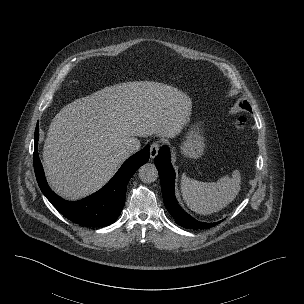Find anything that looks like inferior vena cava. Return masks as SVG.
Returning <instances> with one entry per match:
<instances>
[{
    "label": "inferior vena cava",
    "instance_id": "602c4592",
    "mask_svg": "<svg viewBox=\"0 0 304 304\" xmlns=\"http://www.w3.org/2000/svg\"><path fill=\"white\" fill-rule=\"evenodd\" d=\"M125 148H126V152L130 155L139 150L140 143L135 139H131L128 142H126Z\"/></svg>",
    "mask_w": 304,
    "mask_h": 304
}]
</instances>
